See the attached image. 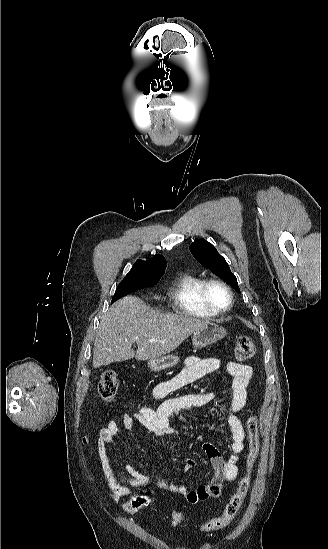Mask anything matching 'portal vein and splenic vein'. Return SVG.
<instances>
[{
  "label": "portal vein and splenic vein",
  "mask_w": 328,
  "mask_h": 549,
  "mask_svg": "<svg viewBox=\"0 0 328 549\" xmlns=\"http://www.w3.org/2000/svg\"><path fill=\"white\" fill-rule=\"evenodd\" d=\"M149 343H153V341H149Z\"/></svg>",
  "instance_id": "18ae733b"
}]
</instances>
